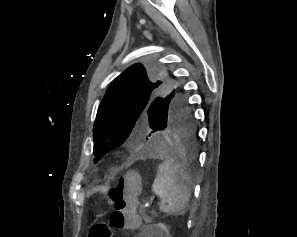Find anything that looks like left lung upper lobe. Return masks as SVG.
<instances>
[{"label":"left lung upper lobe","instance_id":"obj_1","mask_svg":"<svg viewBox=\"0 0 297 237\" xmlns=\"http://www.w3.org/2000/svg\"><path fill=\"white\" fill-rule=\"evenodd\" d=\"M178 104L188 103L169 71L155 65L128 68L110 83L98 108L94 163L117 147L128 156H140Z\"/></svg>","mask_w":297,"mask_h":237}]
</instances>
